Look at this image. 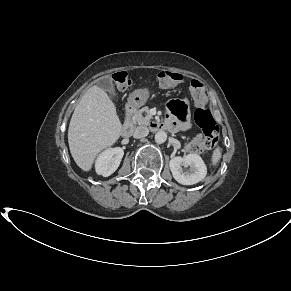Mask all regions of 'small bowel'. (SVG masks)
<instances>
[{
    "instance_id": "obj_1",
    "label": "small bowel",
    "mask_w": 291,
    "mask_h": 291,
    "mask_svg": "<svg viewBox=\"0 0 291 291\" xmlns=\"http://www.w3.org/2000/svg\"><path fill=\"white\" fill-rule=\"evenodd\" d=\"M184 107V114L186 113V104L185 102L178 101ZM169 110L171 115L166 118V127L170 130H183L189 128L190 124L187 120L177 121L174 116H177L178 112L171 107L169 104Z\"/></svg>"
}]
</instances>
